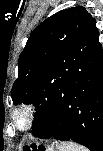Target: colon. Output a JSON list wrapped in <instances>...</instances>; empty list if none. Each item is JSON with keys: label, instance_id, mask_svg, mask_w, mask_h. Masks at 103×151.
<instances>
[{"label": "colon", "instance_id": "colon-1", "mask_svg": "<svg viewBox=\"0 0 103 151\" xmlns=\"http://www.w3.org/2000/svg\"><path fill=\"white\" fill-rule=\"evenodd\" d=\"M24 151H43V149L42 148H33V149H31V148L25 147Z\"/></svg>", "mask_w": 103, "mask_h": 151}]
</instances>
